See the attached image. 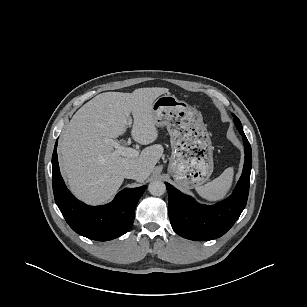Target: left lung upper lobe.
<instances>
[{
	"mask_svg": "<svg viewBox=\"0 0 307 307\" xmlns=\"http://www.w3.org/2000/svg\"><path fill=\"white\" fill-rule=\"evenodd\" d=\"M234 122H235V125H236L237 129L239 130L240 134L244 133L243 128H242V124H241L240 120L235 115H234Z\"/></svg>",
	"mask_w": 307,
	"mask_h": 307,
	"instance_id": "1",
	"label": "left lung upper lobe"
}]
</instances>
